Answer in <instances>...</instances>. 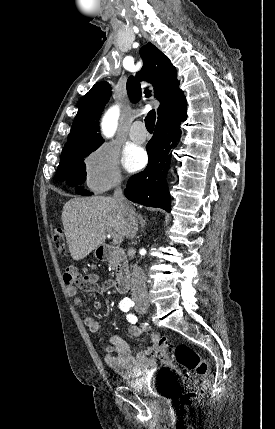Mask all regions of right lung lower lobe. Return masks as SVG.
Instances as JSON below:
<instances>
[{
  "label": "right lung lower lobe",
  "mask_w": 275,
  "mask_h": 429,
  "mask_svg": "<svg viewBox=\"0 0 275 429\" xmlns=\"http://www.w3.org/2000/svg\"><path fill=\"white\" fill-rule=\"evenodd\" d=\"M185 111L167 121L156 124L152 139L148 142L149 162L144 171L130 177L125 196L136 203L160 207L170 211V196L166 186V174L172 150L181 136L180 124L185 121Z\"/></svg>",
  "instance_id": "right-lung-lower-lobe-1"
}]
</instances>
